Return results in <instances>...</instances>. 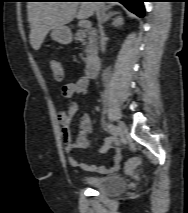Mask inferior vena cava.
Here are the masks:
<instances>
[{
    "label": "inferior vena cava",
    "mask_w": 188,
    "mask_h": 213,
    "mask_svg": "<svg viewBox=\"0 0 188 213\" xmlns=\"http://www.w3.org/2000/svg\"><path fill=\"white\" fill-rule=\"evenodd\" d=\"M96 14H97V19H98V23H99V29H100V34H101V50L102 52H105L106 50V37L104 36V32H103V27H102V22H101V10L97 9L96 10Z\"/></svg>",
    "instance_id": "obj_1"
}]
</instances>
